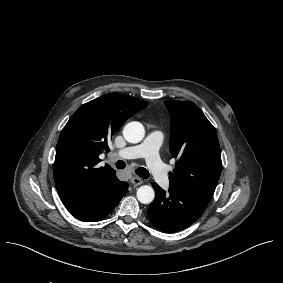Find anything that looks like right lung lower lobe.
I'll use <instances>...</instances> for the list:
<instances>
[{
  "label": "right lung lower lobe",
  "mask_w": 283,
  "mask_h": 283,
  "mask_svg": "<svg viewBox=\"0 0 283 283\" xmlns=\"http://www.w3.org/2000/svg\"><path fill=\"white\" fill-rule=\"evenodd\" d=\"M127 189L128 183L117 179L113 187L100 192L93 200L67 209L73 216L82 221H100L119 203Z\"/></svg>",
  "instance_id": "98d812e1"
}]
</instances>
